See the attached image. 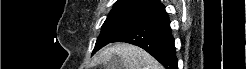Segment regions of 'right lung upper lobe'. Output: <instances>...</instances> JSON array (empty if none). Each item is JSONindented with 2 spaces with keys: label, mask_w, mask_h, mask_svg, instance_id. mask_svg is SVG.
<instances>
[{
  "label": "right lung upper lobe",
  "mask_w": 246,
  "mask_h": 69,
  "mask_svg": "<svg viewBox=\"0 0 246 69\" xmlns=\"http://www.w3.org/2000/svg\"><path fill=\"white\" fill-rule=\"evenodd\" d=\"M161 5L159 0H117L107 18L142 16Z\"/></svg>",
  "instance_id": "right-lung-upper-lobe-1"
}]
</instances>
